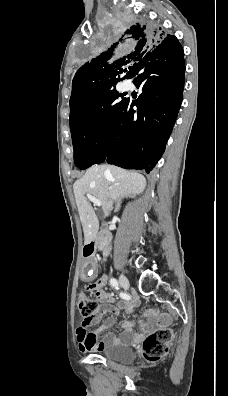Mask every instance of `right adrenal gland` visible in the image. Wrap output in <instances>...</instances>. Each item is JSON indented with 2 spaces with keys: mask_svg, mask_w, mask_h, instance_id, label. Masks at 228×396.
I'll list each match as a JSON object with an SVG mask.
<instances>
[{
  "mask_svg": "<svg viewBox=\"0 0 228 396\" xmlns=\"http://www.w3.org/2000/svg\"><path fill=\"white\" fill-rule=\"evenodd\" d=\"M120 205H121V199H118L116 202L115 211H117L120 208Z\"/></svg>",
  "mask_w": 228,
  "mask_h": 396,
  "instance_id": "right-adrenal-gland-1",
  "label": "right adrenal gland"
}]
</instances>
